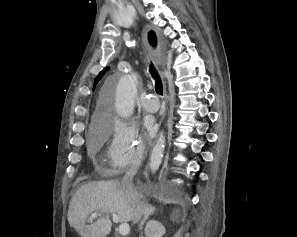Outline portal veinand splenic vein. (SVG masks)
<instances>
[{"label":"portal vein and splenic vein","instance_id":"obj_1","mask_svg":"<svg viewBox=\"0 0 297 237\" xmlns=\"http://www.w3.org/2000/svg\"><path fill=\"white\" fill-rule=\"evenodd\" d=\"M98 215L97 212L93 213L92 214V217H96ZM112 219L115 223H118L119 222V219H118V216L117 214L115 213H112ZM130 232V227L127 223H122L120 224L119 226V233L121 236H127Z\"/></svg>","mask_w":297,"mask_h":237}]
</instances>
